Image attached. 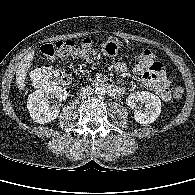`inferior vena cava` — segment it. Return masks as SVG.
<instances>
[{
    "mask_svg": "<svg viewBox=\"0 0 195 195\" xmlns=\"http://www.w3.org/2000/svg\"><path fill=\"white\" fill-rule=\"evenodd\" d=\"M93 95V88L90 86L83 87L80 91V96L82 98H89Z\"/></svg>",
    "mask_w": 195,
    "mask_h": 195,
    "instance_id": "obj_1",
    "label": "inferior vena cava"
}]
</instances>
